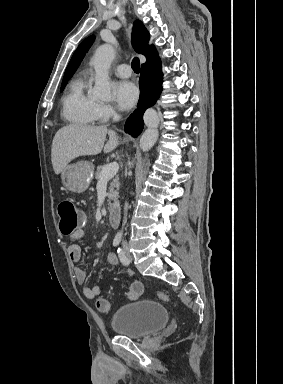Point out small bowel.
<instances>
[{
  "label": "small bowel",
  "instance_id": "obj_1",
  "mask_svg": "<svg viewBox=\"0 0 283 384\" xmlns=\"http://www.w3.org/2000/svg\"><path fill=\"white\" fill-rule=\"evenodd\" d=\"M84 235H85L84 231L81 228H79L75 232L70 234L69 237L71 240H77V239H82ZM68 254L72 262L76 264L74 268V274L78 284L83 285V295L87 299L97 298L101 294L103 290V286L95 285V286L89 287L85 285L87 281V273L83 268L77 265L81 261V257H82L81 247L77 244L69 245ZM107 261L111 265L118 264V259L114 253H109L107 255ZM128 273L129 275H132V271L130 269H128ZM134 284H138L142 288V285L140 283H134Z\"/></svg>",
  "mask_w": 283,
  "mask_h": 384
}]
</instances>
